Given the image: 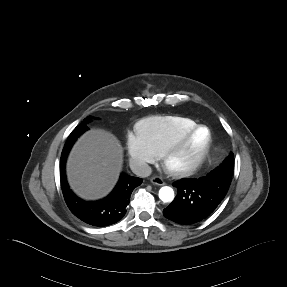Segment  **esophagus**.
<instances>
[{
  "label": "esophagus",
  "mask_w": 287,
  "mask_h": 287,
  "mask_svg": "<svg viewBox=\"0 0 287 287\" xmlns=\"http://www.w3.org/2000/svg\"><path fill=\"white\" fill-rule=\"evenodd\" d=\"M151 183L157 186H163L165 184V182L160 178V177H152L150 179Z\"/></svg>",
  "instance_id": "esophagus-1"
}]
</instances>
